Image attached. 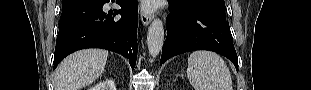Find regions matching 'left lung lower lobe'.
Returning a JSON list of instances; mask_svg holds the SVG:
<instances>
[{"instance_id":"left-lung-lower-lobe-1","label":"left lung lower lobe","mask_w":311,"mask_h":90,"mask_svg":"<svg viewBox=\"0 0 311 90\" xmlns=\"http://www.w3.org/2000/svg\"><path fill=\"white\" fill-rule=\"evenodd\" d=\"M167 37L160 64L169 58L195 50H210L230 59L238 70L229 24L225 19L205 12L182 11L169 4Z\"/></svg>"}]
</instances>
